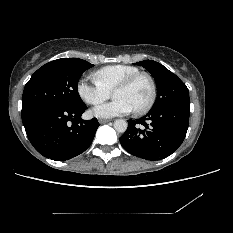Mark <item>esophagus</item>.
Listing matches in <instances>:
<instances>
[{"label":"esophagus","mask_w":233,"mask_h":233,"mask_svg":"<svg viewBox=\"0 0 233 233\" xmlns=\"http://www.w3.org/2000/svg\"><path fill=\"white\" fill-rule=\"evenodd\" d=\"M111 122V120H108V119H99V123L100 124H106V123H109Z\"/></svg>","instance_id":"1"}]
</instances>
